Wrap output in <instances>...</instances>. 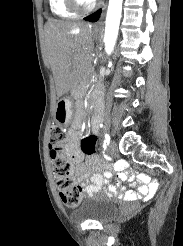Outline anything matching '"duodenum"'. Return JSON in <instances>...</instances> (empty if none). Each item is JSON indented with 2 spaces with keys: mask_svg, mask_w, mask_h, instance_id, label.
Segmentation results:
<instances>
[{
  "mask_svg": "<svg viewBox=\"0 0 183 246\" xmlns=\"http://www.w3.org/2000/svg\"><path fill=\"white\" fill-rule=\"evenodd\" d=\"M100 96H101V89L98 88V89L96 90V92H95V97H96V99L98 100V99L100 98Z\"/></svg>",
  "mask_w": 183,
  "mask_h": 246,
  "instance_id": "duodenum-1",
  "label": "duodenum"
}]
</instances>
